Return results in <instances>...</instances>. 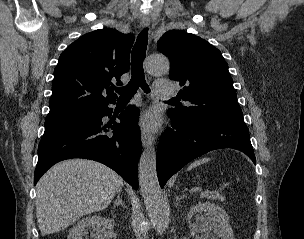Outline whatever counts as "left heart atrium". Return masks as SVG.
Segmentation results:
<instances>
[{
  "mask_svg": "<svg viewBox=\"0 0 304 239\" xmlns=\"http://www.w3.org/2000/svg\"><path fill=\"white\" fill-rule=\"evenodd\" d=\"M158 117L152 112H148L143 115L140 120V125L144 131L150 132L158 127Z\"/></svg>",
  "mask_w": 304,
  "mask_h": 239,
  "instance_id": "1",
  "label": "left heart atrium"
}]
</instances>
